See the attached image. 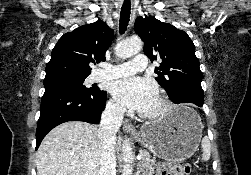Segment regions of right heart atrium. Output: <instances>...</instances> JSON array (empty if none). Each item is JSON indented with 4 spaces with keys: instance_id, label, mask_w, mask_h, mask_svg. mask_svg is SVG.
Instances as JSON below:
<instances>
[{
    "instance_id": "1",
    "label": "right heart atrium",
    "mask_w": 251,
    "mask_h": 175,
    "mask_svg": "<svg viewBox=\"0 0 251 175\" xmlns=\"http://www.w3.org/2000/svg\"><path fill=\"white\" fill-rule=\"evenodd\" d=\"M107 113L113 118H122L124 116V109L120 107L115 101L110 100L107 104Z\"/></svg>"
}]
</instances>
